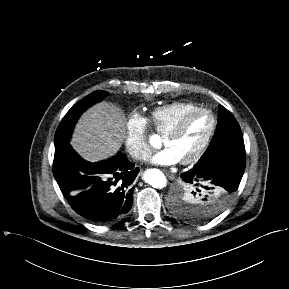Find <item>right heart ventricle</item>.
Returning <instances> with one entry per match:
<instances>
[{
  "mask_svg": "<svg viewBox=\"0 0 289 289\" xmlns=\"http://www.w3.org/2000/svg\"><path fill=\"white\" fill-rule=\"evenodd\" d=\"M199 108L192 102L176 101L154 108L150 120L162 135H164L185 113Z\"/></svg>",
  "mask_w": 289,
  "mask_h": 289,
  "instance_id": "e07e8e85",
  "label": "right heart ventricle"
}]
</instances>
